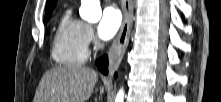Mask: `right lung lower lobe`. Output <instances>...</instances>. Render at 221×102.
Wrapping results in <instances>:
<instances>
[{"instance_id":"98d812e1","label":"right lung lower lobe","mask_w":221,"mask_h":102,"mask_svg":"<svg viewBox=\"0 0 221 102\" xmlns=\"http://www.w3.org/2000/svg\"><path fill=\"white\" fill-rule=\"evenodd\" d=\"M96 64L101 72L107 74L108 57L106 55L99 59Z\"/></svg>"}]
</instances>
